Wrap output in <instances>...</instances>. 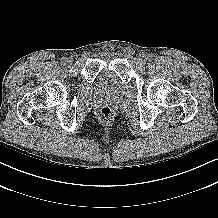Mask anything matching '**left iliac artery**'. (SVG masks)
Here are the masks:
<instances>
[{"label":"left iliac artery","mask_w":218,"mask_h":218,"mask_svg":"<svg viewBox=\"0 0 218 218\" xmlns=\"http://www.w3.org/2000/svg\"><path fill=\"white\" fill-rule=\"evenodd\" d=\"M153 59V55L152 54H148V60H152Z\"/></svg>","instance_id":"44dca946"}]
</instances>
